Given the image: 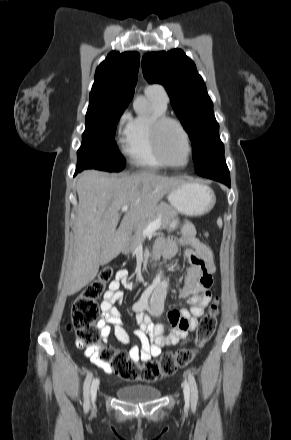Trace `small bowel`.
<instances>
[{
  "mask_svg": "<svg viewBox=\"0 0 291 440\" xmlns=\"http://www.w3.org/2000/svg\"><path fill=\"white\" fill-rule=\"evenodd\" d=\"M181 231V237L170 235L167 240L158 239L155 242V254L172 258L178 252L179 246L188 247L186 255L192 266L187 271L185 283L179 290V294L187 298L191 306L189 309L169 311V317L175 316L178 323L173 325V329L166 334L165 327L162 324H152L144 313L149 305L148 293L144 294L134 305L135 319L139 326L135 331V335L140 342L139 345L133 346L129 351V357L134 362H147L159 356L162 348L177 345L189 332L196 330L198 318L203 314L204 307L210 300L211 294L207 288L210 284L211 275L216 272L213 254L203 242L196 238L195 229L190 223L185 222ZM121 285L128 289L134 288V285L128 281L127 272L124 270L118 271L115 279L109 284L101 303L102 314L97 322V327L101 330V336L104 340L114 334L120 342L127 343L129 342L127 331L121 324L118 309L114 307V303L123 300V293L120 291ZM183 319L190 320V324L183 325L181 323ZM76 345L78 348L83 349L91 361L106 373H113L111 366L100 361L96 352L84 348L80 341H77Z\"/></svg>",
  "mask_w": 291,
  "mask_h": 440,
  "instance_id": "1",
  "label": "small bowel"
}]
</instances>
